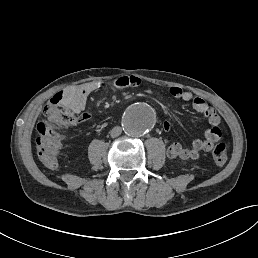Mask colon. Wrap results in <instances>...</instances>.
Masks as SVG:
<instances>
[{
    "label": "colon",
    "mask_w": 258,
    "mask_h": 258,
    "mask_svg": "<svg viewBox=\"0 0 258 258\" xmlns=\"http://www.w3.org/2000/svg\"><path fill=\"white\" fill-rule=\"evenodd\" d=\"M49 119L37 124L38 138L36 141L38 155L46 163H57L60 152L63 131L72 129L86 120L84 114L74 115L68 110L54 107L48 109ZM214 162L223 166L227 162V147L225 143H218L212 149Z\"/></svg>",
    "instance_id": "colon-1"
}]
</instances>
